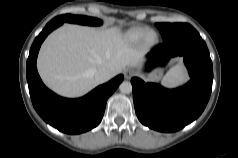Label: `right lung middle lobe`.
I'll return each mask as SVG.
<instances>
[{
    "label": "right lung middle lobe",
    "mask_w": 238,
    "mask_h": 158,
    "mask_svg": "<svg viewBox=\"0 0 238 158\" xmlns=\"http://www.w3.org/2000/svg\"><path fill=\"white\" fill-rule=\"evenodd\" d=\"M54 19L60 20L62 22L78 23L83 25H101L102 24V21L97 18L81 16V15L66 14V15L55 17Z\"/></svg>",
    "instance_id": "1"
}]
</instances>
